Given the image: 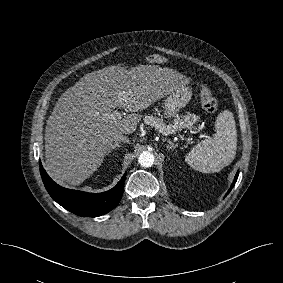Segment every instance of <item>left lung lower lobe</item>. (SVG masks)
<instances>
[{
    "label": "left lung lower lobe",
    "mask_w": 283,
    "mask_h": 283,
    "mask_svg": "<svg viewBox=\"0 0 283 283\" xmlns=\"http://www.w3.org/2000/svg\"><path fill=\"white\" fill-rule=\"evenodd\" d=\"M238 175H239V172L236 173L235 175V178H234V181H233V184L231 185V188L228 190L227 194L231 191V189L233 188L234 186V183L236 182L237 178H238Z\"/></svg>",
    "instance_id": "0a47b994"
}]
</instances>
